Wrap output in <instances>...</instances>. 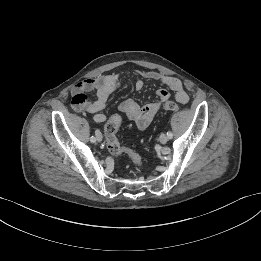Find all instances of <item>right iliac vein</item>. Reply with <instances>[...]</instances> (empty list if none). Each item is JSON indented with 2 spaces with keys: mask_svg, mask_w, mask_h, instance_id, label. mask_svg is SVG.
Returning a JSON list of instances; mask_svg holds the SVG:
<instances>
[{
  "mask_svg": "<svg viewBox=\"0 0 261 261\" xmlns=\"http://www.w3.org/2000/svg\"><path fill=\"white\" fill-rule=\"evenodd\" d=\"M102 134H101V132L100 131H97L96 132V140L98 141V142H101L102 141Z\"/></svg>",
  "mask_w": 261,
  "mask_h": 261,
  "instance_id": "right-iliac-vein-1",
  "label": "right iliac vein"
}]
</instances>
